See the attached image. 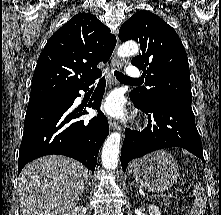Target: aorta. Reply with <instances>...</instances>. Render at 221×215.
<instances>
[{
	"label": "aorta",
	"mask_w": 221,
	"mask_h": 215,
	"mask_svg": "<svg viewBox=\"0 0 221 215\" xmlns=\"http://www.w3.org/2000/svg\"><path fill=\"white\" fill-rule=\"evenodd\" d=\"M139 52V47L135 42H127L122 44L118 50L119 57H128ZM121 142V134L118 132L111 133L105 140L102 149V165L106 170H114L118 166L119 148Z\"/></svg>",
	"instance_id": "obj_1"
}]
</instances>
